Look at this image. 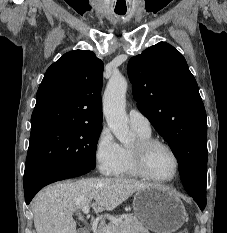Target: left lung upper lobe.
<instances>
[{
    "label": "left lung upper lobe",
    "instance_id": "1",
    "mask_svg": "<svg viewBox=\"0 0 227 233\" xmlns=\"http://www.w3.org/2000/svg\"><path fill=\"white\" fill-rule=\"evenodd\" d=\"M128 76L139 110L177 158L185 190L206 198V112L186 60L160 42L130 59Z\"/></svg>",
    "mask_w": 227,
    "mask_h": 233
}]
</instances>
